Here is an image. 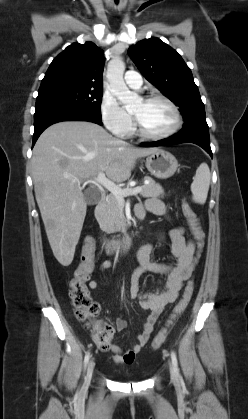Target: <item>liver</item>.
Listing matches in <instances>:
<instances>
[{"label":"liver","mask_w":248,"mask_h":419,"mask_svg":"<svg viewBox=\"0 0 248 419\" xmlns=\"http://www.w3.org/2000/svg\"><path fill=\"white\" fill-rule=\"evenodd\" d=\"M158 150L136 148L86 121L59 122L41 134L33 148L32 178L48 241L61 265L72 263L86 216L81 182L100 172L126 181L138 158Z\"/></svg>","instance_id":"obj_1"}]
</instances>
